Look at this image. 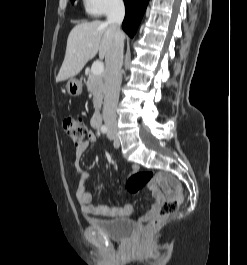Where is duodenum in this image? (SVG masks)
<instances>
[{
    "mask_svg": "<svg viewBox=\"0 0 247 265\" xmlns=\"http://www.w3.org/2000/svg\"><path fill=\"white\" fill-rule=\"evenodd\" d=\"M102 124V116L100 114L95 115L93 119V126L96 130H99L101 128Z\"/></svg>",
    "mask_w": 247,
    "mask_h": 265,
    "instance_id": "obj_1",
    "label": "duodenum"
}]
</instances>
